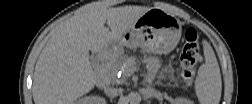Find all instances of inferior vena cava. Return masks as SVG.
Wrapping results in <instances>:
<instances>
[{
  "instance_id": "obj_1",
  "label": "inferior vena cava",
  "mask_w": 252,
  "mask_h": 104,
  "mask_svg": "<svg viewBox=\"0 0 252 104\" xmlns=\"http://www.w3.org/2000/svg\"><path fill=\"white\" fill-rule=\"evenodd\" d=\"M120 93V89L113 88V87H107L105 89V94L110 97L117 96Z\"/></svg>"
}]
</instances>
